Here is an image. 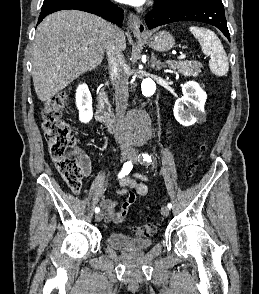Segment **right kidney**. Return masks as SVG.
I'll return each instance as SVG.
<instances>
[{
  "label": "right kidney",
  "mask_w": 259,
  "mask_h": 294,
  "mask_svg": "<svg viewBox=\"0 0 259 294\" xmlns=\"http://www.w3.org/2000/svg\"><path fill=\"white\" fill-rule=\"evenodd\" d=\"M76 105L79 110V120L88 123L93 117L92 97L88 86L80 84L76 90Z\"/></svg>",
  "instance_id": "1"
}]
</instances>
